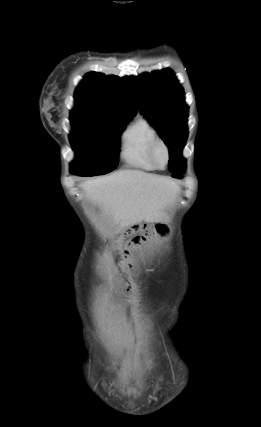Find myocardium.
<instances>
[{"label":"myocardium","instance_id":"f54148a6","mask_svg":"<svg viewBox=\"0 0 261 427\" xmlns=\"http://www.w3.org/2000/svg\"><path fill=\"white\" fill-rule=\"evenodd\" d=\"M160 151H163L165 154V163L163 165H160L158 162V154ZM150 158L157 170H164L168 166L171 159L170 149L167 143L161 138L156 139L152 143L150 148Z\"/></svg>","mask_w":261,"mask_h":427}]
</instances>
